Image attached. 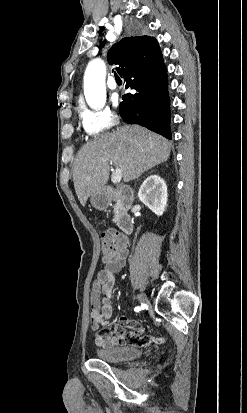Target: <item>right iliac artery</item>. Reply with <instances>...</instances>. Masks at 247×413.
<instances>
[{
    "mask_svg": "<svg viewBox=\"0 0 247 413\" xmlns=\"http://www.w3.org/2000/svg\"><path fill=\"white\" fill-rule=\"evenodd\" d=\"M136 312H139L140 310H141V308L140 307H135V309H134Z\"/></svg>",
    "mask_w": 247,
    "mask_h": 413,
    "instance_id": "obj_1",
    "label": "right iliac artery"
}]
</instances>
